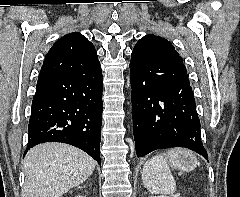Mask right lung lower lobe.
<instances>
[{
  "label": "right lung lower lobe",
  "instance_id": "1",
  "mask_svg": "<svg viewBox=\"0 0 240 197\" xmlns=\"http://www.w3.org/2000/svg\"><path fill=\"white\" fill-rule=\"evenodd\" d=\"M103 78L101 68L84 75L38 80L26 152L44 142L71 144L99 164Z\"/></svg>",
  "mask_w": 240,
  "mask_h": 197
}]
</instances>
